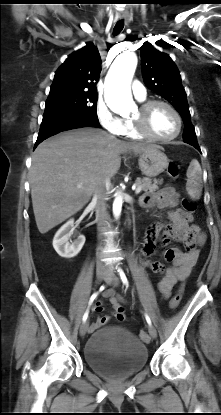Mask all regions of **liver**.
I'll return each instance as SVG.
<instances>
[{
    "mask_svg": "<svg viewBox=\"0 0 221 415\" xmlns=\"http://www.w3.org/2000/svg\"><path fill=\"white\" fill-rule=\"evenodd\" d=\"M152 146L124 142L91 127L67 131L43 141L33 153L29 173L39 232L47 233L81 210L97 184L117 173L120 154H139Z\"/></svg>",
    "mask_w": 221,
    "mask_h": 415,
    "instance_id": "1",
    "label": "liver"
}]
</instances>
